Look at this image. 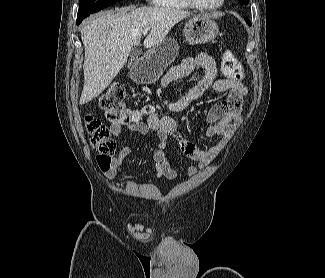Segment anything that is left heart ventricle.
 I'll return each instance as SVG.
<instances>
[{"label": "left heart ventricle", "mask_w": 325, "mask_h": 278, "mask_svg": "<svg viewBox=\"0 0 325 278\" xmlns=\"http://www.w3.org/2000/svg\"><path fill=\"white\" fill-rule=\"evenodd\" d=\"M197 1L203 5H214L218 3L220 0H197Z\"/></svg>", "instance_id": "obj_1"}]
</instances>
